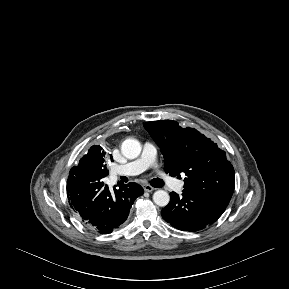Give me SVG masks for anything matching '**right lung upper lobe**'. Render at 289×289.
<instances>
[{
	"label": "right lung upper lobe",
	"mask_w": 289,
	"mask_h": 289,
	"mask_svg": "<svg viewBox=\"0 0 289 289\" xmlns=\"http://www.w3.org/2000/svg\"><path fill=\"white\" fill-rule=\"evenodd\" d=\"M107 157H110L113 161L112 155H109L108 152H106L101 146L93 145L89 149L88 153L80 159L79 165L75 167L95 175V173L92 171L95 163L99 158L106 160Z\"/></svg>",
	"instance_id": "cb5924a9"
}]
</instances>
